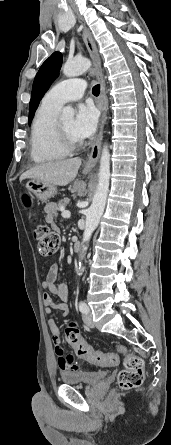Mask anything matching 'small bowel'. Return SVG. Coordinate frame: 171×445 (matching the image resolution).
I'll return each instance as SVG.
<instances>
[{
  "label": "small bowel",
  "instance_id": "c3829d8e",
  "mask_svg": "<svg viewBox=\"0 0 171 445\" xmlns=\"http://www.w3.org/2000/svg\"><path fill=\"white\" fill-rule=\"evenodd\" d=\"M45 211L47 213L46 222L55 227L53 222V214L55 212V205L49 204L46 206ZM57 279V267L52 266L47 278L42 282V287L48 292L43 294V304L46 314H51L54 308L58 309L63 316L68 315L69 306L68 300V286L65 283H56ZM51 295L57 296L61 303L55 304ZM47 326L51 333V339L54 345L55 354L57 356L58 367L62 372L76 371L79 369V365L75 362L72 355H65L61 347V333L60 328L56 321L52 318L48 319Z\"/></svg>",
  "mask_w": 171,
  "mask_h": 445
}]
</instances>
